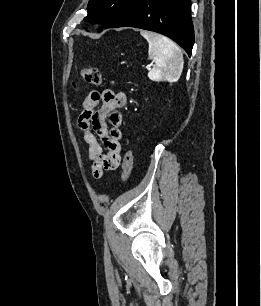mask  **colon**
Segmentation results:
<instances>
[{"instance_id":"5ec220e1","label":"colon","mask_w":261,"mask_h":306,"mask_svg":"<svg viewBox=\"0 0 261 306\" xmlns=\"http://www.w3.org/2000/svg\"><path fill=\"white\" fill-rule=\"evenodd\" d=\"M81 77L84 82L100 86L102 84L101 74L98 69L94 67H84L81 71ZM133 168V155L131 151H126L122 162V179L128 180Z\"/></svg>"}]
</instances>
